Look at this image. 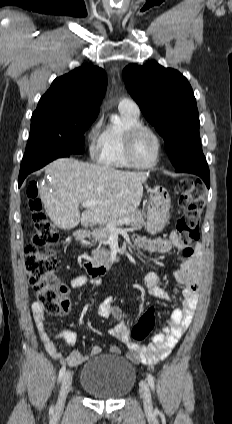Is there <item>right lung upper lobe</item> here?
<instances>
[{"instance_id":"cb5924a9","label":"right lung upper lobe","mask_w":232,"mask_h":424,"mask_svg":"<svg viewBox=\"0 0 232 424\" xmlns=\"http://www.w3.org/2000/svg\"><path fill=\"white\" fill-rule=\"evenodd\" d=\"M107 86V75L99 67L85 64L56 78L40 98L37 109L69 107L98 115Z\"/></svg>"}]
</instances>
